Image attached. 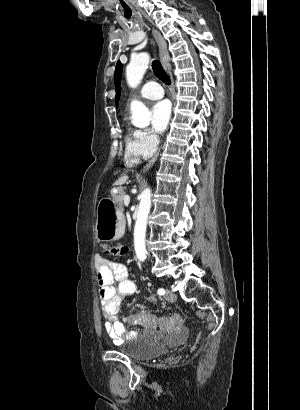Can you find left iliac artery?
Wrapping results in <instances>:
<instances>
[{"mask_svg": "<svg viewBox=\"0 0 300 410\" xmlns=\"http://www.w3.org/2000/svg\"><path fill=\"white\" fill-rule=\"evenodd\" d=\"M158 295H164L165 294V290L163 288H159L157 291Z\"/></svg>", "mask_w": 300, "mask_h": 410, "instance_id": "44dca946", "label": "left iliac artery"}]
</instances>
